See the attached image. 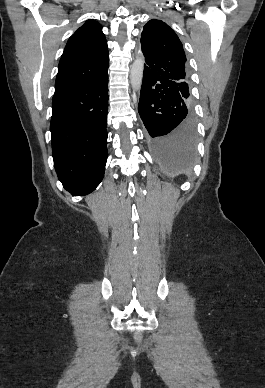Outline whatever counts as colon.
<instances>
[{
    "label": "colon",
    "mask_w": 265,
    "mask_h": 388,
    "mask_svg": "<svg viewBox=\"0 0 265 388\" xmlns=\"http://www.w3.org/2000/svg\"><path fill=\"white\" fill-rule=\"evenodd\" d=\"M141 337V334L140 333H137L136 334V338L139 339Z\"/></svg>",
    "instance_id": "colon-1"
}]
</instances>
